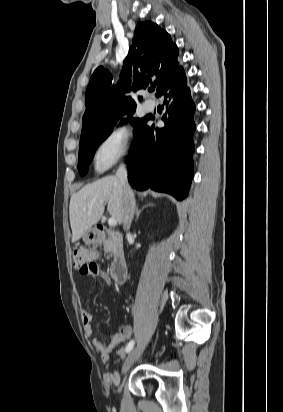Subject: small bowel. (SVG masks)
I'll return each mask as SVG.
<instances>
[{
	"instance_id": "small-bowel-1",
	"label": "small bowel",
	"mask_w": 283,
	"mask_h": 412,
	"mask_svg": "<svg viewBox=\"0 0 283 412\" xmlns=\"http://www.w3.org/2000/svg\"><path fill=\"white\" fill-rule=\"evenodd\" d=\"M92 277H100L106 283L111 284V279L107 273L100 271L98 274L90 275ZM115 301L118 299L115 297ZM81 319L83 322L85 333L91 338L93 346L99 352L102 361L106 363L108 372L104 375V379L109 384L119 383V375L114 369L116 362L110 360V355L116 346H120L117 350L119 356H123L124 345L131 338L133 330L129 325H124L120 329V333L115 334L109 343H103L96 335L94 331V323L96 320L95 315L87 310L81 311Z\"/></svg>"
}]
</instances>
